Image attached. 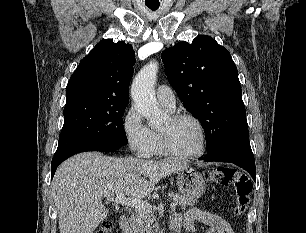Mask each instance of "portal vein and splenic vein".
Listing matches in <instances>:
<instances>
[{"label": "portal vein and splenic vein", "instance_id": "obj_1", "mask_svg": "<svg viewBox=\"0 0 306 233\" xmlns=\"http://www.w3.org/2000/svg\"><path fill=\"white\" fill-rule=\"evenodd\" d=\"M106 199L112 200L113 202H115L117 204L134 207L138 210H144V211L149 212L152 209L151 205L148 202L143 201V200L138 199V198H127L125 196V194H123V193H118L115 198L110 197V196H106ZM176 206H177L176 202H172L170 204V207L172 209H175Z\"/></svg>", "mask_w": 306, "mask_h": 233}]
</instances>
